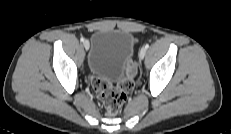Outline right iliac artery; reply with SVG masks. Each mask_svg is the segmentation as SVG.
I'll return each instance as SVG.
<instances>
[{
    "mask_svg": "<svg viewBox=\"0 0 231 134\" xmlns=\"http://www.w3.org/2000/svg\"><path fill=\"white\" fill-rule=\"evenodd\" d=\"M80 41H81V42H84V38H83V37H81V38H80Z\"/></svg>",
    "mask_w": 231,
    "mask_h": 134,
    "instance_id": "right-iliac-artery-1",
    "label": "right iliac artery"
}]
</instances>
